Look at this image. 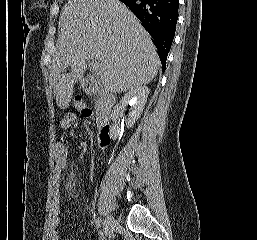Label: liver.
I'll return each instance as SVG.
<instances>
[{
    "instance_id": "liver-1",
    "label": "liver",
    "mask_w": 257,
    "mask_h": 240,
    "mask_svg": "<svg viewBox=\"0 0 257 240\" xmlns=\"http://www.w3.org/2000/svg\"><path fill=\"white\" fill-rule=\"evenodd\" d=\"M59 28L50 76L61 109L69 106L90 59L99 63L100 81L113 93L144 86L159 70L149 34L119 0H70L62 8ZM68 67L71 72L64 74Z\"/></svg>"
}]
</instances>
